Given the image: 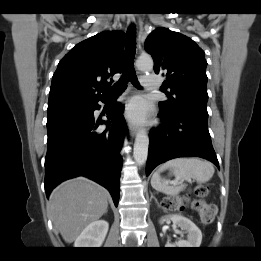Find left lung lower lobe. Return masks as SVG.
<instances>
[{"mask_svg":"<svg viewBox=\"0 0 261 261\" xmlns=\"http://www.w3.org/2000/svg\"><path fill=\"white\" fill-rule=\"evenodd\" d=\"M162 124L149 133L146 175L159 164L177 157H201L219 167L208 131V115L188 107L160 112Z\"/></svg>","mask_w":261,"mask_h":261,"instance_id":"left-lung-lower-lobe-1","label":"left lung lower lobe"}]
</instances>
